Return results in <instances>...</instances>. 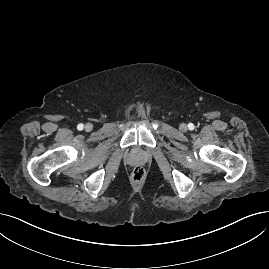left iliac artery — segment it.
Returning a JSON list of instances; mask_svg holds the SVG:
<instances>
[{
	"mask_svg": "<svg viewBox=\"0 0 269 269\" xmlns=\"http://www.w3.org/2000/svg\"><path fill=\"white\" fill-rule=\"evenodd\" d=\"M188 128H189V130H194L195 126L193 123H189Z\"/></svg>",
	"mask_w": 269,
	"mask_h": 269,
	"instance_id": "obj_1",
	"label": "left iliac artery"
}]
</instances>
